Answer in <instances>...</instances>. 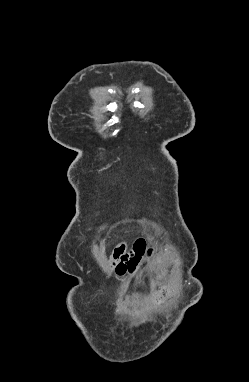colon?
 <instances>
[{
    "label": "colon",
    "instance_id": "obj_1",
    "mask_svg": "<svg viewBox=\"0 0 249 382\" xmlns=\"http://www.w3.org/2000/svg\"><path fill=\"white\" fill-rule=\"evenodd\" d=\"M131 252V251H130ZM150 252V250L147 248V246H145V248H144V255L146 254V253H149ZM143 255V256H144Z\"/></svg>",
    "mask_w": 249,
    "mask_h": 382
}]
</instances>
